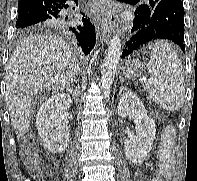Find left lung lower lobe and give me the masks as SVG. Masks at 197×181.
I'll return each mask as SVG.
<instances>
[{
    "label": "left lung lower lobe",
    "instance_id": "left-lung-lower-lobe-1",
    "mask_svg": "<svg viewBox=\"0 0 197 181\" xmlns=\"http://www.w3.org/2000/svg\"><path fill=\"white\" fill-rule=\"evenodd\" d=\"M184 8L181 0H162L154 8L150 17L134 19L133 35L125 44L122 58L140 49L153 40H170L182 51L184 44Z\"/></svg>",
    "mask_w": 197,
    "mask_h": 181
}]
</instances>
